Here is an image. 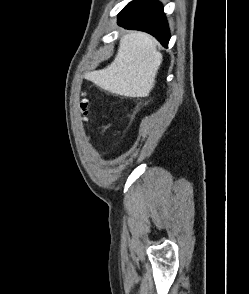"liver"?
Here are the masks:
<instances>
[{
    "label": "liver",
    "mask_w": 249,
    "mask_h": 294,
    "mask_svg": "<svg viewBox=\"0 0 249 294\" xmlns=\"http://www.w3.org/2000/svg\"><path fill=\"white\" fill-rule=\"evenodd\" d=\"M162 63L156 40L147 33L130 31L120 39L114 61L87 78L111 93L126 97L147 96L155 85Z\"/></svg>",
    "instance_id": "6515ba94"
}]
</instances>
